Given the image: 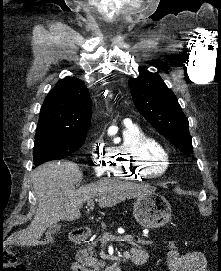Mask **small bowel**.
<instances>
[{
  "label": "small bowel",
  "mask_w": 221,
  "mask_h": 271,
  "mask_svg": "<svg viewBox=\"0 0 221 271\" xmlns=\"http://www.w3.org/2000/svg\"><path fill=\"white\" fill-rule=\"evenodd\" d=\"M143 255L147 258L148 252L139 247L131 248L128 254L129 258ZM165 265L168 271H206L207 262L202 253L198 251L181 253L176 243L168 242Z\"/></svg>",
  "instance_id": "1"
}]
</instances>
